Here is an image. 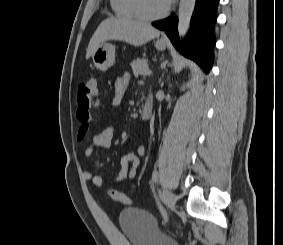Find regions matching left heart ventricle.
<instances>
[{
  "mask_svg": "<svg viewBox=\"0 0 283 245\" xmlns=\"http://www.w3.org/2000/svg\"><path fill=\"white\" fill-rule=\"evenodd\" d=\"M167 0H142V7L148 14H158L164 10Z\"/></svg>",
  "mask_w": 283,
  "mask_h": 245,
  "instance_id": "1",
  "label": "left heart ventricle"
}]
</instances>
